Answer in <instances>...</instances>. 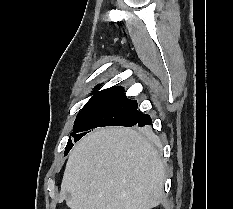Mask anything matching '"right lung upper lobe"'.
<instances>
[{"instance_id":"1","label":"right lung upper lobe","mask_w":233,"mask_h":209,"mask_svg":"<svg viewBox=\"0 0 233 209\" xmlns=\"http://www.w3.org/2000/svg\"><path fill=\"white\" fill-rule=\"evenodd\" d=\"M97 103H136L135 100L128 99L124 94V88L115 86L96 92L86 105Z\"/></svg>"}]
</instances>
